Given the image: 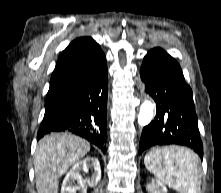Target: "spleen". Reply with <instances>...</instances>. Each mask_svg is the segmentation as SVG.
<instances>
[{"instance_id": "1", "label": "spleen", "mask_w": 221, "mask_h": 193, "mask_svg": "<svg viewBox=\"0 0 221 193\" xmlns=\"http://www.w3.org/2000/svg\"><path fill=\"white\" fill-rule=\"evenodd\" d=\"M146 168L157 179L179 193H199L201 169L198 156L175 146H153L144 158Z\"/></svg>"}]
</instances>
